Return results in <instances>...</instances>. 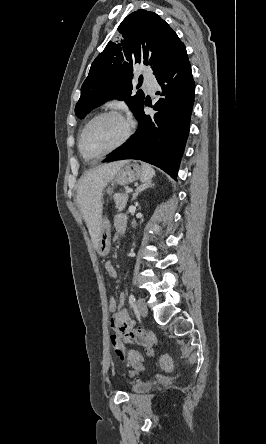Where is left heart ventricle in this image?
Returning a JSON list of instances; mask_svg holds the SVG:
<instances>
[{"label": "left heart ventricle", "mask_w": 266, "mask_h": 444, "mask_svg": "<svg viewBox=\"0 0 266 444\" xmlns=\"http://www.w3.org/2000/svg\"><path fill=\"white\" fill-rule=\"evenodd\" d=\"M125 133L124 123L117 117L105 116L94 121L87 129L83 146L89 155L112 148Z\"/></svg>", "instance_id": "b2bd125f"}]
</instances>
